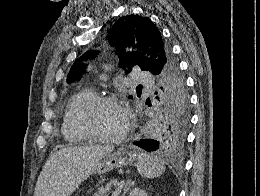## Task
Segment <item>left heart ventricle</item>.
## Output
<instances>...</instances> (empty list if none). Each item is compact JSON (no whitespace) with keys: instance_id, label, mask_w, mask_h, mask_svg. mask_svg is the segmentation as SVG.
Returning <instances> with one entry per match:
<instances>
[{"instance_id":"1","label":"left heart ventricle","mask_w":260,"mask_h":196,"mask_svg":"<svg viewBox=\"0 0 260 196\" xmlns=\"http://www.w3.org/2000/svg\"><path fill=\"white\" fill-rule=\"evenodd\" d=\"M82 113L78 111V118ZM126 124V113L123 107L109 104L100 107L91 119L92 127L102 133L109 135L118 134Z\"/></svg>"}]
</instances>
